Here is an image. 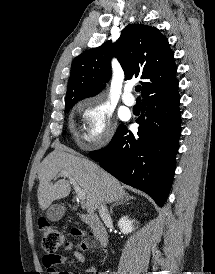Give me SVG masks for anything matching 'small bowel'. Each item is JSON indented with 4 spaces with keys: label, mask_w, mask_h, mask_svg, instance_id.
I'll list each match as a JSON object with an SVG mask.
<instances>
[{
    "label": "small bowel",
    "mask_w": 215,
    "mask_h": 274,
    "mask_svg": "<svg viewBox=\"0 0 215 274\" xmlns=\"http://www.w3.org/2000/svg\"><path fill=\"white\" fill-rule=\"evenodd\" d=\"M71 257L77 260L80 263H85L86 258L84 254L78 250H72L70 252ZM69 262V258L58 255V254H46L43 256L42 263L44 268L49 274H73L69 271H58L56 269V265L58 264H66ZM86 274H106L104 272H100L94 265H90L85 270Z\"/></svg>",
    "instance_id": "obj_1"
}]
</instances>
